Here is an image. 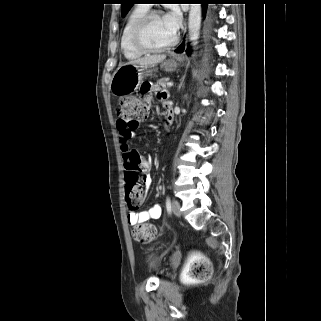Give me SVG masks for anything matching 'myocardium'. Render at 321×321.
<instances>
[{
    "label": "myocardium",
    "mask_w": 321,
    "mask_h": 321,
    "mask_svg": "<svg viewBox=\"0 0 321 321\" xmlns=\"http://www.w3.org/2000/svg\"><path fill=\"white\" fill-rule=\"evenodd\" d=\"M156 16H161V12L158 10L147 11L142 15L138 21L135 23L132 33H131V42L133 46L142 53H160L172 49L179 40L178 34L175 32L173 39L166 45L161 47H152L146 44L143 38L144 29L148 21Z\"/></svg>",
    "instance_id": "obj_1"
}]
</instances>
